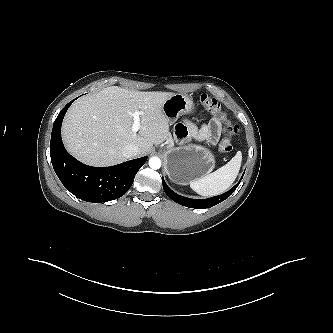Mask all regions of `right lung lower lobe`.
<instances>
[{"instance_id":"1","label":"right lung lower lobe","mask_w":333,"mask_h":333,"mask_svg":"<svg viewBox=\"0 0 333 333\" xmlns=\"http://www.w3.org/2000/svg\"><path fill=\"white\" fill-rule=\"evenodd\" d=\"M74 100L61 110L53 124L50 141L53 168L66 189L81 200L101 203L117 199L130 189L147 156L111 167L87 166L72 157L62 143L61 124Z\"/></svg>"}]
</instances>
